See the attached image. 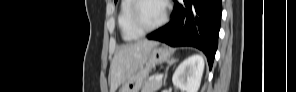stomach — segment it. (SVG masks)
<instances>
[{
	"label": "stomach",
	"instance_id": "1",
	"mask_svg": "<svg viewBox=\"0 0 296 92\" xmlns=\"http://www.w3.org/2000/svg\"><path fill=\"white\" fill-rule=\"evenodd\" d=\"M171 51L166 47H153L144 67L138 69L122 85L119 92H139L152 69L162 63L168 62Z\"/></svg>",
	"mask_w": 296,
	"mask_h": 92
}]
</instances>
